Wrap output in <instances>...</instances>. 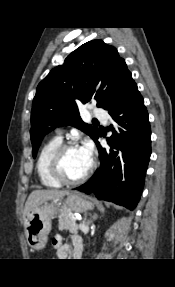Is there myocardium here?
<instances>
[{"label":"myocardium","instance_id":"1","mask_svg":"<svg viewBox=\"0 0 175 287\" xmlns=\"http://www.w3.org/2000/svg\"><path fill=\"white\" fill-rule=\"evenodd\" d=\"M73 148H78V146L72 142L61 143L53 152L50 159V173L57 181L61 182L62 184L76 185L82 183L90 176L94 169V162L91 160L89 168L80 177L76 179L67 177L62 169V159L65 152Z\"/></svg>","mask_w":175,"mask_h":287}]
</instances>
